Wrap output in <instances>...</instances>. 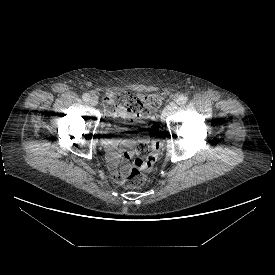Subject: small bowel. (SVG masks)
Wrapping results in <instances>:
<instances>
[{"mask_svg": "<svg viewBox=\"0 0 275 275\" xmlns=\"http://www.w3.org/2000/svg\"><path fill=\"white\" fill-rule=\"evenodd\" d=\"M136 97H132L121 92H109L105 96L104 104L107 117L118 121H138L141 117L140 113L134 109L132 102ZM105 144L108 148V163L111 173L115 180L121 181L122 176L129 170V164L127 162L134 153L130 150L132 142L130 140H118L116 138H108L105 140ZM120 147L126 149L124 153V161L122 165L118 166V150Z\"/></svg>", "mask_w": 275, "mask_h": 275, "instance_id": "c3829d8e", "label": "small bowel"}]
</instances>
